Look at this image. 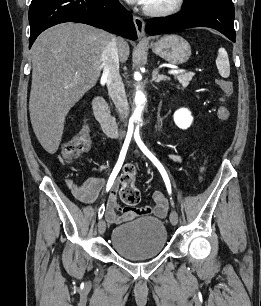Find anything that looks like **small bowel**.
<instances>
[{
    "label": "small bowel",
    "mask_w": 261,
    "mask_h": 306,
    "mask_svg": "<svg viewBox=\"0 0 261 306\" xmlns=\"http://www.w3.org/2000/svg\"><path fill=\"white\" fill-rule=\"evenodd\" d=\"M174 161H181L179 155H172ZM108 184V183H107ZM105 185L103 178H91L86 180L81 185L75 186L72 189L73 196L84 204H92L97 199L99 193ZM154 205L143 208H121L116 199V188L111 191L106 204V219L110 223L124 222L133 219L137 216L153 214L158 218H164L168 212V201L165 195L161 192L153 194Z\"/></svg>",
    "instance_id": "1"
}]
</instances>
